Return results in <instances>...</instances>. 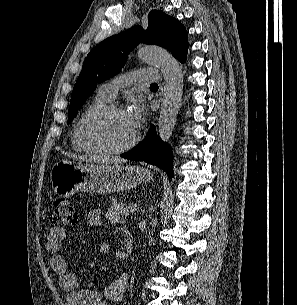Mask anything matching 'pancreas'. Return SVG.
Masks as SVG:
<instances>
[{
	"label": "pancreas",
	"mask_w": 297,
	"mask_h": 305,
	"mask_svg": "<svg viewBox=\"0 0 297 305\" xmlns=\"http://www.w3.org/2000/svg\"><path fill=\"white\" fill-rule=\"evenodd\" d=\"M129 216V206L118 203L116 198L112 199V206L106 213V219L115 224H124Z\"/></svg>",
	"instance_id": "obj_1"
}]
</instances>
